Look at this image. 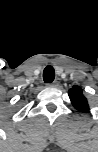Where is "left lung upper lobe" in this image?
<instances>
[{
  "label": "left lung upper lobe",
  "instance_id": "5c2ea615",
  "mask_svg": "<svg viewBox=\"0 0 98 152\" xmlns=\"http://www.w3.org/2000/svg\"><path fill=\"white\" fill-rule=\"evenodd\" d=\"M69 97L72 105L80 112H88L89 105L87 99L82 93V89L79 86H73L69 92Z\"/></svg>",
  "mask_w": 98,
  "mask_h": 152
}]
</instances>
